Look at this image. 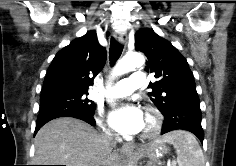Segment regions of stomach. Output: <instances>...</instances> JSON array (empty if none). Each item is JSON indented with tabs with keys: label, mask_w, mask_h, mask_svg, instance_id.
Segmentation results:
<instances>
[{
	"label": "stomach",
	"mask_w": 236,
	"mask_h": 166,
	"mask_svg": "<svg viewBox=\"0 0 236 166\" xmlns=\"http://www.w3.org/2000/svg\"><path fill=\"white\" fill-rule=\"evenodd\" d=\"M168 148L164 143L153 142L142 150L141 154L149 159L146 166H159L161 158L168 153Z\"/></svg>",
	"instance_id": "obj_1"
}]
</instances>
